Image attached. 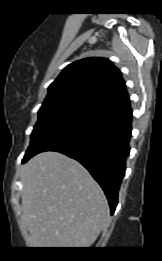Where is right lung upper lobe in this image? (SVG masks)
I'll use <instances>...</instances> for the list:
<instances>
[{"instance_id":"cb5924a9","label":"right lung upper lobe","mask_w":162,"mask_h":261,"mask_svg":"<svg viewBox=\"0 0 162 261\" xmlns=\"http://www.w3.org/2000/svg\"><path fill=\"white\" fill-rule=\"evenodd\" d=\"M80 92L102 104L127 96L121 72L111 61L89 57L69 64L48 88V95Z\"/></svg>"}]
</instances>
